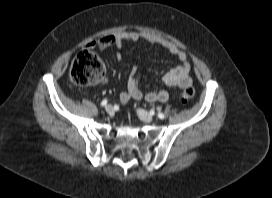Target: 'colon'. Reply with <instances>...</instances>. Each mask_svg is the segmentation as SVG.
Returning <instances> with one entry per match:
<instances>
[{
  "instance_id": "colon-1",
  "label": "colon",
  "mask_w": 272,
  "mask_h": 198,
  "mask_svg": "<svg viewBox=\"0 0 272 198\" xmlns=\"http://www.w3.org/2000/svg\"><path fill=\"white\" fill-rule=\"evenodd\" d=\"M105 68L99 57L91 50L84 49L74 58L70 68L71 81L77 86H89L98 83L104 76ZM194 97V89L187 87L182 98L189 101Z\"/></svg>"
}]
</instances>
